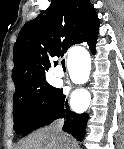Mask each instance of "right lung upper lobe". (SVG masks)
<instances>
[{
    "label": "right lung upper lobe",
    "instance_id": "right-lung-upper-lobe-1",
    "mask_svg": "<svg viewBox=\"0 0 124 149\" xmlns=\"http://www.w3.org/2000/svg\"><path fill=\"white\" fill-rule=\"evenodd\" d=\"M99 19L88 0H51L50 7L28 21L14 44L12 79L16 88L46 77L51 56L63 55L74 44L95 45Z\"/></svg>",
    "mask_w": 124,
    "mask_h": 149
}]
</instances>
